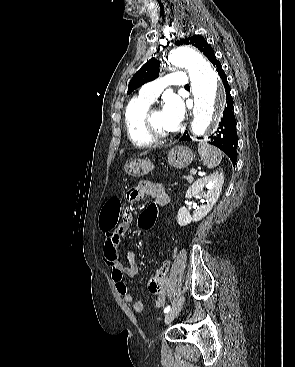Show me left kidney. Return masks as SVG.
Segmentation results:
<instances>
[{
	"label": "left kidney",
	"instance_id": "1",
	"mask_svg": "<svg viewBox=\"0 0 295 367\" xmlns=\"http://www.w3.org/2000/svg\"><path fill=\"white\" fill-rule=\"evenodd\" d=\"M224 183V174L222 171H216L210 176L196 180L187 190L186 198L191 199L197 196L201 204L197 207L194 215L191 216L186 207H181L177 214V223L180 226H186L191 222L202 220L213 208L217 202ZM207 188V192L203 191Z\"/></svg>",
	"mask_w": 295,
	"mask_h": 367
}]
</instances>
